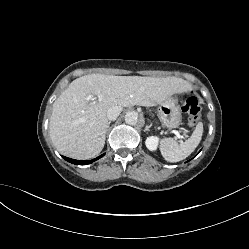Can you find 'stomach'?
Masks as SVG:
<instances>
[{"instance_id":"stomach-1","label":"stomach","mask_w":249,"mask_h":249,"mask_svg":"<svg viewBox=\"0 0 249 249\" xmlns=\"http://www.w3.org/2000/svg\"><path fill=\"white\" fill-rule=\"evenodd\" d=\"M157 116L161 126L169 129L179 127L182 121V114L177 105V100L173 97H169L159 104Z\"/></svg>"}]
</instances>
